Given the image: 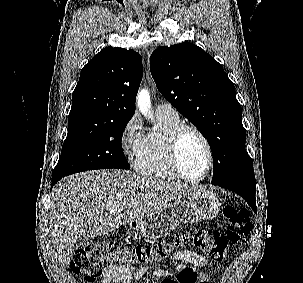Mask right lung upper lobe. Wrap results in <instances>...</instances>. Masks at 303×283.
<instances>
[{
  "instance_id": "right-lung-upper-lobe-1",
  "label": "right lung upper lobe",
  "mask_w": 303,
  "mask_h": 283,
  "mask_svg": "<svg viewBox=\"0 0 303 283\" xmlns=\"http://www.w3.org/2000/svg\"><path fill=\"white\" fill-rule=\"evenodd\" d=\"M141 80L139 53L118 47L101 50L81 71L68 120H130Z\"/></svg>"
}]
</instances>
